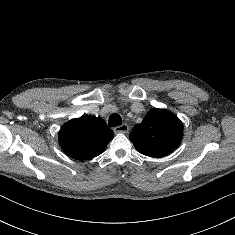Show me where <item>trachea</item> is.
<instances>
[{
  "label": "trachea",
  "mask_w": 235,
  "mask_h": 235,
  "mask_svg": "<svg viewBox=\"0 0 235 235\" xmlns=\"http://www.w3.org/2000/svg\"><path fill=\"white\" fill-rule=\"evenodd\" d=\"M122 124V118L119 114H112L109 117L108 125L109 127H116Z\"/></svg>",
  "instance_id": "3493384b"
}]
</instances>
